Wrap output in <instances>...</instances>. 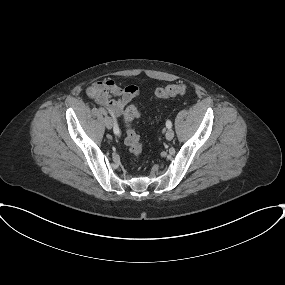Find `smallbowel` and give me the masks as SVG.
Segmentation results:
<instances>
[{"instance_id":"small-bowel-1","label":"small bowel","mask_w":285,"mask_h":285,"mask_svg":"<svg viewBox=\"0 0 285 285\" xmlns=\"http://www.w3.org/2000/svg\"><path fill=\"white\" fill-rule=\"evenodd\" d=\"M86 93L116 118L123 113L131 100L139 95V88L133 84L120 86L112 79H104L92 83Z\"/></svg>"}]
</instances>
